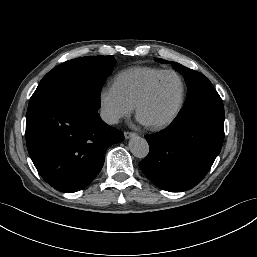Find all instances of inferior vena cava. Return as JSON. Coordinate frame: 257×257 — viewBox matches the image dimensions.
<instances>
[{
  "label": "inferior vena cava",
  "mask_w": 257,
  "mask_h": 257,
  "mask_svg": "<svg viewBox=\"0 0 257 257\" xmlns=\"http://www.w3.org/2000/svg\"><path fill=\"white\" fill-rule=\"evenodd\" d=\"M100 116L102 120L108 124H117L120 118L119 114L107 109H102Z\"/></svg>",
  "instance_id": "1"
}]
</instances>
